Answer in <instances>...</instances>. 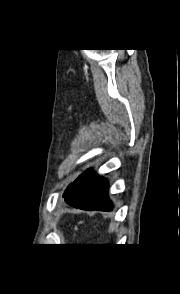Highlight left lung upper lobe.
I'll list each match as a JSON object with an SVG mask.
<instances>
[{"label":"left lung upper lobe","mask_w":180,"mask_h":294,"mask_svg":"<svg viewBox=\"0 0 180 294\" xmlns=\"http://www.w3.org/2000/svg\"><path fill=\"white\" fill-rule=\"evenodd\" d=\"M72 184H70L68 186V188L66 189L65 193L63 194V197H65L67 195V193L69 192L70 188H71Z\"/></svg>","instance_id":"5c2ea615"}]
</instances>
